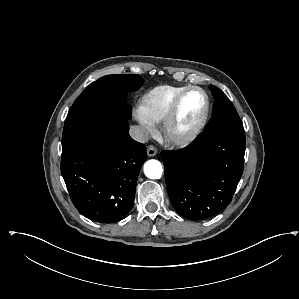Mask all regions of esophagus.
<instances>
[{
	"label": "esophagus",
	"mask_w": 299,
	"mask_h": 299,
	"mask_svg": "<svg viewBox=\"0 0 299 299\" xmlns=\"http://www.w3.org/2000/svg\"><path fill=\"white\" fill-rule=\"evenodd\" d=\"M157 154V149L154 147V146H149L148 148H147V155L149 156V157H153V156H155Z\"/></svg>",
	"instance_id": "1"
}]
</instances>
